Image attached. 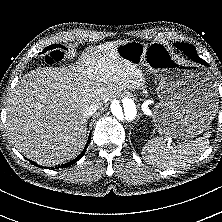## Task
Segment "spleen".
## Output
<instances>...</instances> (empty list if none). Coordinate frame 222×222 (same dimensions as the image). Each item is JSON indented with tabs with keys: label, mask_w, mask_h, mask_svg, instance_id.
<instances>
[{
	"label": "spleen",
	"mask_w": 222,
	"mask_h": 222,
	"mask_svg": "<svg viewBox=\"0 0 222 222\" xmlns=\"http://www.w3.org/2000/svg\"><path fill=\"white\" fill-rule=\"evenodd\" d=\"M209 135L193 141H184L176 146L166 144L162 138L150 140L142 149L147 162L162 168L183 167L195 162L209 146Z\"/></svg>",
	"instance_id": "1"
}]
</instances>
